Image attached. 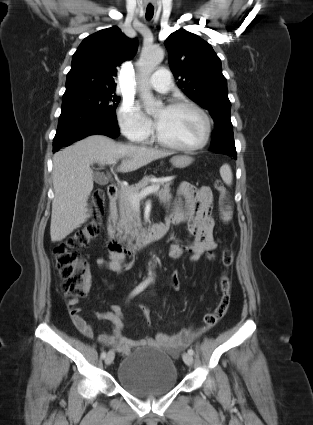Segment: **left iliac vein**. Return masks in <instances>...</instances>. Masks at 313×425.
<instances>
[{"instance_id":"left-iliac-vein-1","label":"left iliac vein","mask_w":313,"mask_h":425,"mask_svg":"<svg viewBox=\"0 0 313 425\" xmlns=\"http://www.w3.org/2000/svg\"><path fill=\"white\" fill-rule=\"evenodd\" d=\"M182 358L185 364H187L188 366H191L193 364V356L189 353H184Z\"/></svg>"}]
</instances>
